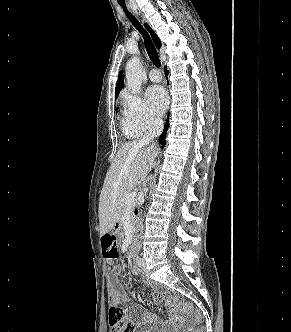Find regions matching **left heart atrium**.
<instances>
[{
    "label": "left heart atrium",
    "mask_w": 291,
    "mask_h": 332,
    "mask_svg": "<svg viewBox=\"0 0 291 332\" xmlns=\"http://www.w3.org/2000/svg\"><path fill=\"white\" fill-rule=\"evenodd\" d=\"M146 95L153 112L156 115H161L168 105V97L165 90L161 86H151L148 88Z\"/></svg>",
    "instance_id": "39dd6f15"
}]
</instances>
